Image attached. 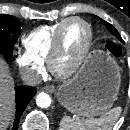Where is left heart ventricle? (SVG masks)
Returning <instances> with one entry per match:
<instances>
[{
  "label": "left heart ventricle",
  "instance_id": "left-heart-ventricle-1",
  "mask_svg": "<svg viewBox=\"0 0 130 130\" xmlns=\"http://www.w3.org/2000/svg\"><path fill=\"white\" fill-rule=\"evenodd\" d=\"M87 29L80 22H71L63 34V49L57 60V67L66 70L77 60L87 41Z\"/></svg>",
  "mask_w": 130,
  "mask_h": 130
}]
</instances>
